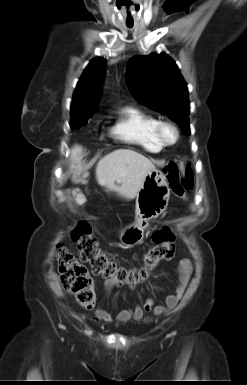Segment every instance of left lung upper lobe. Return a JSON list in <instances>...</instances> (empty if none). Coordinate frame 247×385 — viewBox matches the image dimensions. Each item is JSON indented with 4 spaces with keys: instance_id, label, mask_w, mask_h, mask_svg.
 I'll return each instance as SVG.
<instances>
[{
    "instance_id": "obj_1",
    "label": "left lung upper lobe",
    "mask_w": 247,
    "mask_h": 385,
    "mask_svg": "<svg viewBox=\"0 0 247 385\" xmlns=\"http://www.w3.org/2000/svg\"><path fill=\"white\" fill-rule=\"evenodd\" d=\"M127 84L143 105L165 113L190 134L188 89L175 62L166 54L134 56L127 67Z\"/></svg>"
}]
</instances>
